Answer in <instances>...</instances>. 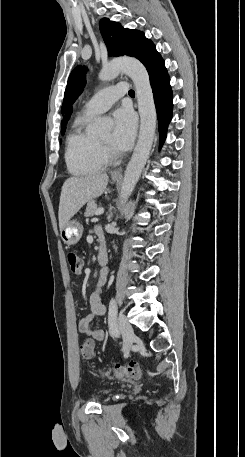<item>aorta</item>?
<instances>
[{"mask_svg":"<svg viewBox=\"0 0 245 457\" xmlns=\"http://www.w3.org/2000/svg\"><path fill=\"white\" fill-rule=\"evenodd\" d=\"M120 72L127 74L134 83L140 115L139 138L121 186L120 199L121 203H125L138 182L153 144L156 131V109L149 75L144 65L134 58L115 59L102 68L99 78L103 81H110ZM110 124V119L99 118L94 123L93 130L97 133L105 132Z\"/></svg>","mask_w":245,"mask_h":457,"instance_id":"762f6f07","label":"aorta"}]
</instances>
